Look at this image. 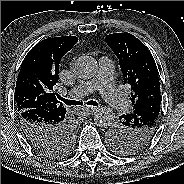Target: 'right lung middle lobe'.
Here are the masks:
<instances>
[{
    "mask_svg": "<svg viewBox=\"0 0 184 184\" xmlns=\"http://www.w3.org/2000/svg\"><path fill=\"white\" fill-rule=\"evenodd\" d=\"M74 128L66 130V134L62 141V144L57 148H48L41 150L40 152L48 157H61L69 152L73 145Z\"/></svg>",
    "mask_w": 184,
    "mask_h": 184,
    "instance_id": "obj_1",
    "label": "right lung middle lobe"
}]
</instances>
